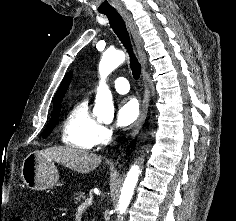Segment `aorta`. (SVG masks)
<instances>
[{"label": "aorta", "mask_w": 236, "mask_h": 221, "mask_svg": "<svg viewBox=\"0 0 236 221\" xmlns=\"http://www.w3.org/2000/svg\"><path fill=\"white\" fill-rule=\"evenodd\" d=\"M125 61L123 51H107L103 54L99 64L101 81L97 90L93 114L101 119H112L114 105L112 94L105 83L106 77ZM140 175V167L137 164L131 166L121 189L118 202V211L122 215L126 212L134 193Z\"/></svg>", "instance_id": "obj_1"}]
</instances>
